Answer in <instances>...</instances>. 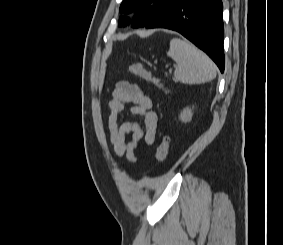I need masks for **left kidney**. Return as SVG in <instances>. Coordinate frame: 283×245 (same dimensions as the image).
<instances>
[{"label": "left kidney", "instance_id": "obj_1", "mask_svg": "<svg viewBox=\"0 0 283 245\" xmlns=\"http://www.w3.org/2000/svg\"><path fill=\"white\" fill-rule=\"evenodd\" d=\"M192 110L187 107L185 109H183V111L181 112L180 116H179V119L182 121V122H189L191 121L192 119Z\"/></svg>", "mask_w": 283, "mask_h": 245}]
</instances>
